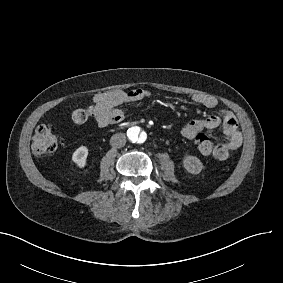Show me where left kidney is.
I'll list each match as a JSON object with an SVG mask.
<instances>
[{
    "label": "left kidney",
    "instance_id": "1",
    "mask_svg": "<svg viewBox=\"0 0 283 283\" xmlns=\"http://www.w3.org/2000/svg\"><path fill=\"white\" fill-rule=\"evenodd\" d=\"M183 165L191 174H199L203 169L202 162L195 156H186L183 160Z\"/></svg>",
    "mask_w": 283,
    "mask_h": 283
}]
</instances>
